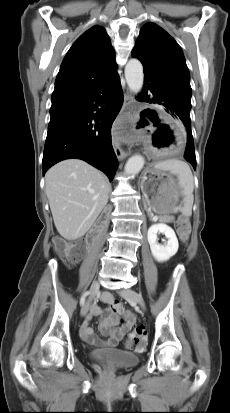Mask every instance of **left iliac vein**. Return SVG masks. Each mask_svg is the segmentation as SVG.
<instances>
[{
	"mask_svg": "<svg viewBox=\"0 0 230 413\" xmlns=\"http://www.w3.org/2000/svg\"><path fill=\"white\" fill-rule=\"evenodd\" d=\"M120 295L129 302L138 304L142 310H145V302L141 294L132 289H125L120 292Z\"/></svg>",
	"mask_w": 230,
	"mask_h": 413,
	"instance_id": "obj_1",
	"label": "left iliac vein"
}]
</instances>
